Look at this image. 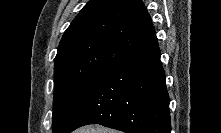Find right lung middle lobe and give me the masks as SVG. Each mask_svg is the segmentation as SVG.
I'll return each mask as SVG.
<instances>
[{
    "mask_svg": "<svg viewBox=\"0 0 221 133\" xmlns=\"http://www.w3.org/2000/svg\"><path fill=\"white\" fill-rule=\"evenodd\" d=\"M107 68L109 67L70 68L54 73L53 133H65L95 83Z\"/></svg>",
    "mask_w": 221,
    "mask_h": 133,
    "instance_id": "dd1d6c3e",
    "label": "right lung middle lobe"
}]
</instances>
